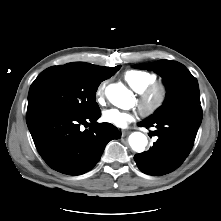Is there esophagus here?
Here are the masks:
<instances>
[{"label":"esophagus","mask_w":221,"mask_h":221,"mask_svg":"<svg viewBox=\"0 0 221 221\" xmlns=\"http://www.w3.org/2000/svg\"><path fill=\"white\" fill-rule=\"evenodd\" d=\"M130 132L129 131H122V137H125L126 135H128Z\"/></svg>","instance_id":"obj_1"}]
</instances>
